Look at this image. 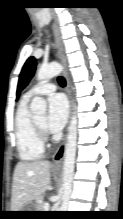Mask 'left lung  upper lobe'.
Masks as SVG:
<instances>
[{
	"instance_id": "obj_1",
	"label": "left lung upper lobe",
	"mask_w": 123,
	"mask_h": 219,
	"mask_svg": "<svg viewBox=\"0 0 123 219\" xmlns=\"http://www.w3.org/2000/svg\"><path fill=\"white\" fill-rule=\"evenodd\" d=\"M36 68V59L34 57H30L24 64L22 71L20 73L18 86H17V95L21 92V90L28 84L30 79L32 78Z\"/></svg>"
}]
</instances>
